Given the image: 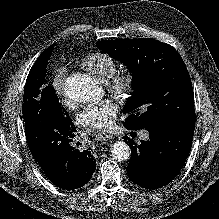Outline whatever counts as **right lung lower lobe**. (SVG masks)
<instances>
[{"instance_id": "98d812e1", "label": "right lung lower lobe", "mask_w": 219, "mask_h": 219, "mask_svg": "<svg viewBox=\"0 0 219 219\" xmlns=\"http://www.w3.org/2000/svg\"><path fill=\"white\" fill-rule=\"evenodd\" d=\"M25 135L31 154L54 185L72 190L91 179L95 160L91 148L74 146L78 133L73 124L41 111L25 121Z\"/></svg>"}]
</instances>
